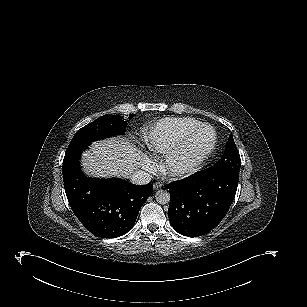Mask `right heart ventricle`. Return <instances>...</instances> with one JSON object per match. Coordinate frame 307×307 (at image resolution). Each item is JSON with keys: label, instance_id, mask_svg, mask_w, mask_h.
I'll use <instances>...</instances> for the list:
<instances>
[{"label": "right heart ventricle", "instance_id": "1", "mask_svg": "<svg viewBox=\"0 0 307 307\" xmlns=\"http://www.w3.org/2000/svg\"><path fill=\"white\" fill-rule=\"evenodd\" d=\"M195 121L189 118H165L150 132L147 140L150 150L157 156L167 155L181 140L195 130ZM211 142L206 145V149ZM164 155V156H165Z\"/></svg>", "mask_w": 307, "mask_h": 307}]
</instances>
